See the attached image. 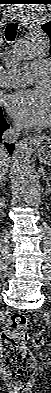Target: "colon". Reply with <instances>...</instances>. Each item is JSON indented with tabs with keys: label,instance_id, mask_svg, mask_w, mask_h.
<instances>
[{
	"label": "colon",
	"instance_id": "5ec220e1",
	"mask_svg": "<svg viewBox=\"0 0 51 393\" xmlns=\"http://www.w3.org/2000/svg\"><path fill=\"white\" fill-rule=\"evenodd\" d=\"M27 317L21 313L11 315L9 323L1 332V358L4 377L17 393H26L36 372V361L26 347ZM36 349L45 346V338L37 333L32 337Z\"/></svg>",
	"mask_w": 51,
	"mask_h": 393
}]
</instances>
